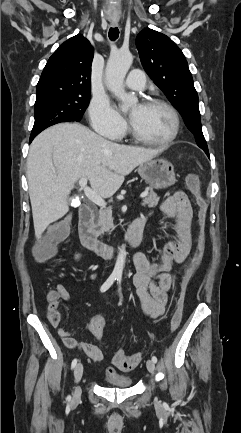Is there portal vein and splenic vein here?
I'll list each match as a JSON object with an SVG mask.
<instances>
[{
    "label": "portal vein and splenic vein",
    "mask_w": 241,
    "mask_h": 433,
    "mask_svg": "<svg viewBox=\"0 0 241 433\" xmlns=\"http://www.w3.org/2000/svg\"><path fill=\"white\" fill-rule=\"evenodd\" d=\"M79 185L80 187L83 189L85 195L87 196V198L93 202L94 204L100 206V207H105L106 206V202L105 200L99 196L95 191H93L91 188H89L87 186V178H81L79 180ZM148 195V191H144L141 193L140 197L144 198Z\"/></svg>",
    "instance_id": "1"
}]
</instances>
